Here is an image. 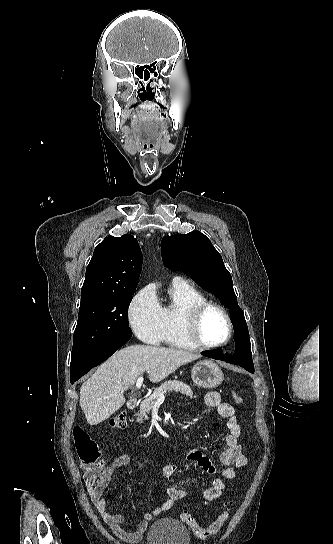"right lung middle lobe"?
I'll list each match as a JSON object with an SVG mask.
<instances>
[{"instance_id": "obj_1", "label": "right lung middle lobe", "mask_w": 333, "mask_h": 544, "mask_svg": "<svg viewBox=\"0 0 333 544\" xmlns=\"http://www.w3.org/2000/svg\"><path fill=\"white\" fill-rule=\"evenodd\" d=\"M134 291L108 293L80 304L74 331L71 367L99 345L121 334H132L128 324V307Z\"/></svg>"}]
</instances>
